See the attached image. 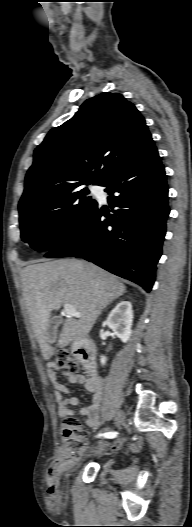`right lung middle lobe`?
<instances>
[{
	"label": "right lung middle lobe",
	"mask_w": 192,
	"mask_h": 527,
	"mask_svg": "<svg viewBox=\"0 0 192 527\" xmlns=\"http://www.w3.org/2000/svg\"><path fill=\"white\" fill-rule=\"evenodd\" d=\"M81 186L49 200L19 206L21 238L38 251L62 244L87 220L97 202Z\"/></svg>",
	"instance_id": "1"
}]
</instances>
